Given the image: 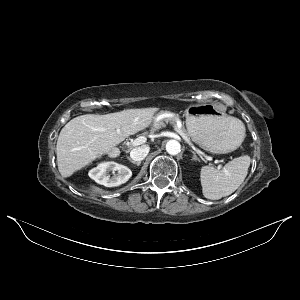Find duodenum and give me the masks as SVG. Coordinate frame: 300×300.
I'll return each mask as SVG.
<instances>
[{
    "instance_id": "obj_1",
    "label": "duodenum",
    "mask_w": 300,
    "mask_h": 300,
    "mask_svg": "<svg viewBox=\"0 0 300 300\" xmlns=\"http://www.w3.org/2000/svg\"><path fill=\"white\" fill-rule=\"evenodd\" d=\"M111 156H112V157H117V156H118V151H116V150L113 151L112 154H111Z\"/></svg>"
}]
</instances>
